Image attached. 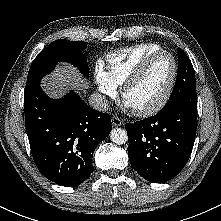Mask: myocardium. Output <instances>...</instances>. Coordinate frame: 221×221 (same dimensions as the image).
<instances>
[{
    "mask_svg": "<svg viewBox=\"0 0 221 221\" xmlns=\"http://www.w3.org/2000/svg\"><path fill=\"white\" fill-rule=\"evenodd\" d=\"M168 56L173 63V73L171 79L161 97L152 105L142 108L136 109L135 112L139 116H150L157 112H159L169 101L173 90L175 88L178 75H179V67L176 58L170 52L160 50L154 53L149 54L145 57L140 64L129 74V76L123 81L120 88L121 97L125 100V95L128 89L139 79V77L146 71L149 65L158 57Z\"/></svg>",
    "mask_w": 221,
    "mask_h": 221,
    "instance_id": "obj_1",
    "label": "myocardium"
}]
</instances>
